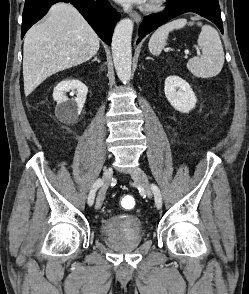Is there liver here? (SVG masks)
I'll use <instances>...</instances> for the list:
<instances>
[{
  "instance_id": "liver-1",
  "label": "liver",
  "mask_w": 249,
  "mask_h": 294,
  "mask_svg": "<svg viewBox=\"0 0 249 294\" xmlns=\"http://www.w3.org/2000/svg\"><path fill=\"white\" fill-rule=\"evenodd\" d=\"M99 37L72 5L57 3L24 38V93L28 96L51 75L90 60Z\"/></svg>"
}]
</instances>
